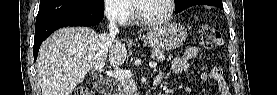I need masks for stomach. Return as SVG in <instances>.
<instances>
[{
	"mask_svg": "<svg viewBox=\"0 0 277 95\" xmlns=\"http://www.w3.org/2000/svg\"><path fill=\"white\" fill-rule=\"evenodd\" d=\"M143 38L153 48L174 50L186 40L187 30L181 24L170 23L149 30Z\"/></svg>",
	"mask_w": 277,
	"mask_h": 95,
	"instance_id": "stomach-1",
	"label": "stomach"
}]
</instances>
